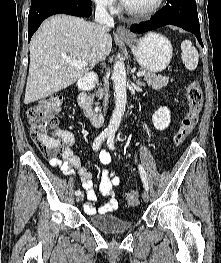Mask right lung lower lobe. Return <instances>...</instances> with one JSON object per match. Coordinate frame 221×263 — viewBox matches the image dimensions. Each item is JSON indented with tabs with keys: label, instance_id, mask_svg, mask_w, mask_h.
I'll list each match as a JSON object with an SVG mask.
<instances>
[{
	"label": "right lung lower lobe",
	"instance_id": "98d812e1",
	"mask_svg": "<svg viewBox=\"0 0 221 263\" xmlns=\"http://www.w3.org/2000/svg\"><path fill=\"white\" fill-rule=\"evenodd\" d=\"M91 0H35L31 2L28 15V41L47 17L65 13L74 16L90 17Z\"/></svg>",
	"mask_w": 221,
	"mask_h": 263
}]
</instances>
